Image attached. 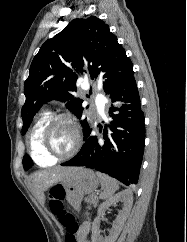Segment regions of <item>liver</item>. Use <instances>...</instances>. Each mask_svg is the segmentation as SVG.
Segmentation results:
<instances>
[{
	"label": "liver",
	"instance_id": "6515ba94",
	"mask_svg": "<svg viewBox=\"0 0 187 242\" xmlns=\"http://www.w3.org/2000/svg\"><path fill=\"white\" fill-rule=\"evenodd\" d=\"M76 169L77 167H56L55 169L34 173L31 177V185L41 204L45 203L44 192L61 183Z\"/></svg>",
	"mask_w": 187,
	"mask_h": 242
}]
</instances>
